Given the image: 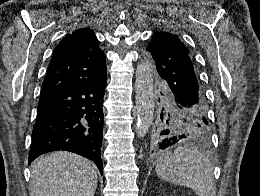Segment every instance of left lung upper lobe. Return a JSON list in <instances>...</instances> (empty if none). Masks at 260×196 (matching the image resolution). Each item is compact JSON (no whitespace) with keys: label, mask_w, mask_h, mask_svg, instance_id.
Segmentation results:
<instances>
[{"label":"left lung upper lobe","mask_w":260,"mask_h":196,"mask_svg":"<svg viewBox=\"0 0 260 196\" xmlns=\"http://www.w3.org/2000/svg\"><path fill=\"white\" fill-rule=\"evenodd\" d=\"M146 51L152 56L160 77L168 83L166 99L158 98L155 118L147 134V148L152 152L167 148L163 143L169 136L177 137L174 144L191 140L208 142L211 120L189 48L177 34L160 30L154 33Z\"/></svg>","instance_id":"left-lung-upper-lobe-1"}]
</instances>
